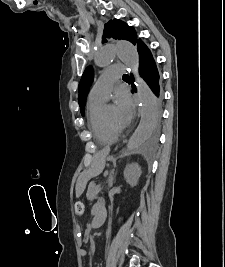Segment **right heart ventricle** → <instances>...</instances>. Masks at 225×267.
I'll use <instances>...</instances> for the list:
<instances>
[{
  "instance_id": "right-heart-ventricle-1",
  "label": "right heart ventricle",
  "mask_w": 225,
  "mask_h": 267,
  "mask_svg": "<svg viewBox=\"0 0 225 267\" xmlns=\"http://www.w3.org/2000/svg\"><path fill=\"white\" fill-rule=\"evenodd\" d=\"M104 101L91 100L88 101L87 116L89 128L99 144L110 145L117 139V135L110 132L103 120Z\"/></svg>"
}]
</instances>
